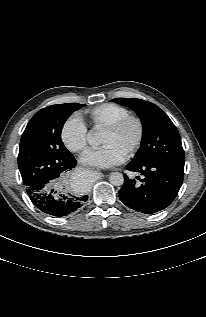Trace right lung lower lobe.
Here are the masks:
<instances>
[{"instance_id": "obj_1", "label": "right lung lower lobe", "mask_w": 206, "mask_h": 317, "mask_svg": "<svg viewBox=\"0 0 206 317\" xmlns=\"http://www.w3.org/2000/svg\"><path fill=\"white\" fill-rule=\"evenodd\" d=\"M76 164L73 156L70 161L61 162L58 171L54 173L23 180L30 200L42 212L56 217L67 216L87 201V195L73 193L66 189V185L55 183L61 174L68 172Z\"/></svg>"}]
</instances>
